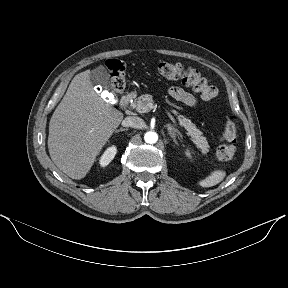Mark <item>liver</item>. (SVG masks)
<instances>
[{
    "instance_id": "6515ba94",
    "label": "liver",
    "mask_w": 288,
    "mask_h": 288,
    "mask_svg": "<svg viewBox=\"0 0 288 288\" xmlns=\"http://www.w3.org/2000/svg\"><path fill=\"white\" fill-rule=\"evenodd\" d=\"M89 73L73 78L49 123L50 157L72 179L87 175L123 119V113L94 91Z\"/></svg>"
}]
</instances>
